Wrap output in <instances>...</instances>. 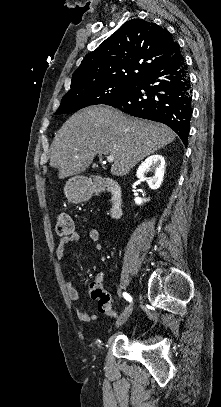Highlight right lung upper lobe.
Returning <instances> with one entry per match:
<instances>
[{
  "label": "right lung upper lobe",
  "instance_id": "obj_1",
  "mask_svg": "<svg viewBox=\"0 0 221 407\" xmlns=\"http://www.w3.org/2000/svg\"><path fill=\"white\" fill-rule=\"evenodd\" d=\"M178 48L166 29L143 19H132L85 56L72 75L68 92L101 83H136Z\"/></svg>",
  "mask_w": 221,
  "mask_h": 407
}]
</instances>
